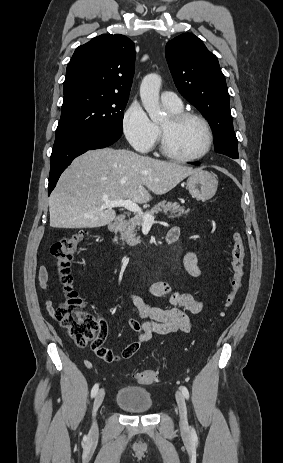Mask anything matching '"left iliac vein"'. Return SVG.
<instances>
[{"instance_id": "left-iliac-vein-1", "label": "left iliac vein", "mask_w": 283, "mask_h": 463, "mask_svg": "<svg viewBox=\"0 0 283 463\" xmlns=\"http://www.w3.org/2000/svg\"><path fill=\"white\" fill-rule=\"evenodd\" d=\"M176 402H177L179 414H180V426L183 429H187L188 428L187 406H186L185 398L180 391L176 392Z\"/></svg>"}]
</instances>
